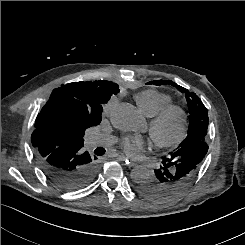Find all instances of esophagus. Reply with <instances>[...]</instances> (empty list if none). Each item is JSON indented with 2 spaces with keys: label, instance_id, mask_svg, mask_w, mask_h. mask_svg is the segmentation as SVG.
Listing matches in <instances>:
<instances>
[{
  "label": "esophagus",
  "instance_id": "obj_1",
  "mask_svg": "<svg viewBox=\"0 0 245 245\" xmlns=\"http://www.w3.org/2000/svg\"><path fill=\"white\" fill-rule=\"evenodd\" d=\"M118 159L123 161L127 167H133L135 165L129 158L125 157L124 155H119Z\"/></svg>",
  "mask_w": 245,
  "mask_h": 245
}]
</instances>
